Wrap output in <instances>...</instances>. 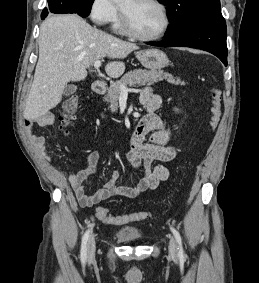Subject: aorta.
Wrapping results in <instances>:
<instances>
[{
    "mask_svg": "<svg viewBox=\"0 0 259 283\" xmlns=\"http://www.w3.org/2000/svg\"><path fill=\"white\" fill-rule=\"evenodd\" d=\"M113 2H120L121 0H112Z\"/></svg>",
    "mask_w": 259,
    "mask_h": 283,
    "instance_id": "1",
    "label": "aorta"
}]
</instances>
